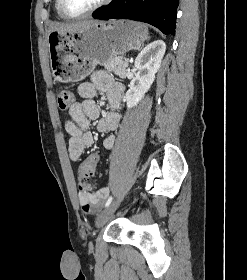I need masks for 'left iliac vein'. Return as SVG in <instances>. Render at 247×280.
Masks as SVG:
<instances>
[{"label": "left iliac vein", "instance_id": "1", "mask_svg": "<svg viewBox=\"0 0 247 280\" xmlns=\"http://www.w3.org/2000/svg\"><path fill=\"white\" fill-rule=\"evenodd\" d=\"M119 201H113L97 218V228L103 227L118 207Z\"/></svg>", "mask_w": 247, "mask_h": 280}]
</instances>
